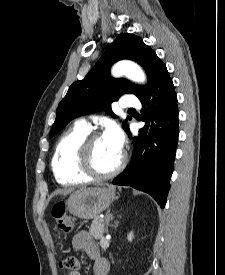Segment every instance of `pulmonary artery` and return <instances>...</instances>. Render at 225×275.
Returning <instances> with one entry per match:
<instances>
[{
	"instance_id": "e3ab8cb5",
	"label": "pulmonary artery",
	"mask_w": 225,
	"mask_h": 275,
	"mask_svg": "<svg viewBox=\"0 0 225 275\" xmlns=\"http://www.w3.org/2000/svg\"><path fill=\"white\" fill-rule=\"evenodd\" d=\"M120 106L123 108H134V107H139L140 106V101L138 98L131 96V95H124L121 99ZM78 124L89 128L90 129V124L85 120L81 119L78 121Z\"/></svg>"
}]
</instances>
